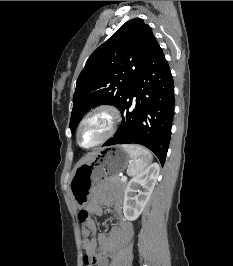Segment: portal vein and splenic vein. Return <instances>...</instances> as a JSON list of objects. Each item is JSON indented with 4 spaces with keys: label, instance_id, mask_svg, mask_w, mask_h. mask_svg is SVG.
<instances>
[{
    "label": "portal vein and splenic vein",
    "instance_id": "18ae733b",
    "mask_svg": "<svg viewBox=\"0 0 233 266\" xmlns=\"http://www.w3.org/2000/svg\"><path fill=\"white\" fill-rule=\"evenodd\" d=\"M121 181H123V182L127 181V177L126 176H122L121 177Z\"/></svg>",
    "mask_w": 233,
    "mask_h": 266
}]
</instances>
